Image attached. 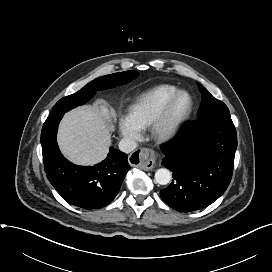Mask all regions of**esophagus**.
<instances>
[{
	"mask_svg": "<svg viewBox=\"0 0 272 272\" xmlns=\"http://www.w3.org/2000/svg\"><path fill=\"white\" fill-rule=\"evenodd\" d=\"M140 160V163H139ZM132 164H138L140 169L149 171L154 168L157 162V155L154 150L149 148H142L139 151H136L130 157Z\"/></svg>",
	"mask_w": 272,
	"mask_h": 272,
	"instance_id": "34e87169",
	"label": "esophagus"
}]
</instances>
